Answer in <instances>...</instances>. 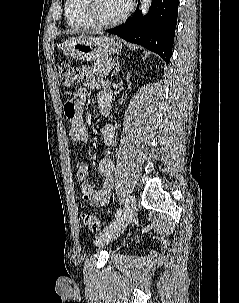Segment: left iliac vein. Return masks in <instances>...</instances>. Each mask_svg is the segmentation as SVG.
Instances as JSON below:
<instances>
[{"label": "left iliac vein", "mask_w": 239, "mask_h": 303, "mask_svg": "<svg viewBox=\"0 0 239 303\" xmlns=\"http://www.w3.org/2000/svg\"><path fill=\"white\" fill-rule=\"evenodd\" d=\"M136 212V198L134 195H131L125 204L124 211L119 220H117L109 229L104 232H101L96 237V245L104 246L117 237L126 229L130 221L132 220L134 214Z\"/></svg>", "instance_id": "4c4485c4"}]
</instances>
